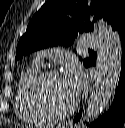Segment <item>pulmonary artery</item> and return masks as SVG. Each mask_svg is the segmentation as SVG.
<instances>
[{"label":"pulmonary artery","instance_id":"1","mask_svg":"<svg viewBox=\"0 0 125 128\" xmlns=\"http://www.w3.org/2000/svg\"><path fill=\"white\" fill-rule=\"evenodd\" d=\"M82 41H83V46L84 47H87V48H98L101 44V40L99 37H97L96 35L94 34H85L83 37H82ZM49 55V51H46L42 57H46ZM39 58V59H42Z\"/></svg>","mask_w":125,"mask_h":128}]
</instances>
